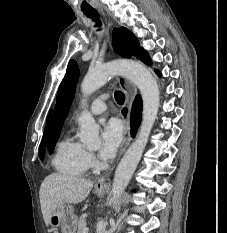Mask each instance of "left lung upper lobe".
Returning a JSON list of instances; mask_svg holds the SVG:
<instances>
[{
    "instance_id": "left-lung-upper-lobe-1",
    "label": "left lung upper lobe",
    "mask_w": 227,
    "mask_h": 233,
    "mask_svg": "<svg viewBox=\"0 0 227 233\" xmlns=\"http://www.w3.org/2000/svg\"><path fill=\"white\" fill-rule=\"evenodd\" d=\"M112 40L115 52L121 56L126 58L136 56L146 64L151 63L150 57L146 51L139 46L137 38L128 29L124 27L114 29ZM78 78L79 68L77 62L71 60L68 64L65 77L59 86L57 94V104L48 142V151L50 153H52L54 149V146L59 138L60 130L64 124V119L69 112L71 102L75 95V87Z\"/></svg>"
}]
</instances>
